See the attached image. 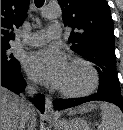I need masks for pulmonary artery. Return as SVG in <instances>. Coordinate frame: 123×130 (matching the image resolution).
I'll list each match as a JSON object with an SVG mask.
<instances>
[{"mask_svg": "<svg viewBox=\"0 0 123 130\" xmlns=\"http://www.w3.org/2000/svg\"><path fill=\"white\" fill-rule=\"evenodd\" d=\"M61 35V27L59 24H52L46 30H41L30 34L22 42L23 45L27 46H39L47 43L51 39L59 38Z\"/></svg>", "mask_w": 123, "mask_h": 130, "instance_id": "1", "label": "pulmonary artery"}]
</instances>
